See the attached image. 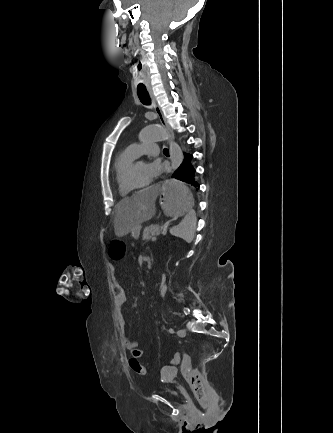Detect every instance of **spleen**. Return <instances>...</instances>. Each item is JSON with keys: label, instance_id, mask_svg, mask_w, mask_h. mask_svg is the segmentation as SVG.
Segmentation results:
<instances>
[{"label": "spleen", "instance_id": "3e777b00", "mask_svg": "<svg viewBox=\"0 0 333 433\" xmlns=\"http://www.w3.org/2000/svg\"><path fill=\"white\" fill-rule=\"evenodd\" d=\"M183 216L181 222L170 229V233L175 237L182 238L187 243H191L195 237L196 230L195 212L194 210H188V215Z\"/></svg>", "mask_w": 333, "mask_h": 433}]
</instances>
